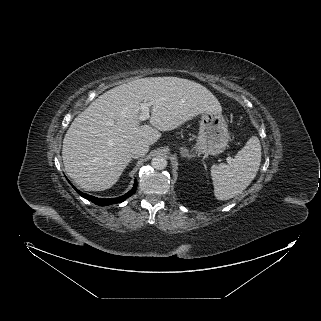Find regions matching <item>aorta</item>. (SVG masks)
Instances as JSON below:
<instances>
[{
    "label": "aorta",
    "mask_w": 321,
    "mask_h": 321,
    "mask_svg": "<svg viewBox=\"0 0 321 321\" xmlns=\"http://www.w3.org/2000/svg\"><path fill=\"white\" fill-rule=\"evenodd\" d=\"M151 165L157 170H163L167 166V160L163 156H156L152 158Z\"/></svg>",
    "instance_id": "obj_1"
}]
</instances>
